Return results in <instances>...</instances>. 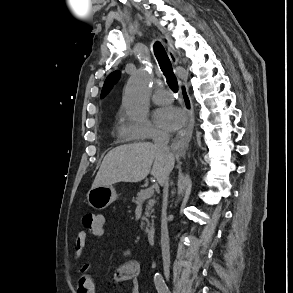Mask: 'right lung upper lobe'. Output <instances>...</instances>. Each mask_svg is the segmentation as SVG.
Wrapping results in <instances>:
<instances>
[{
    "label": "right lung upper lobe",
    "mask_w": 293,
    "mask_h": 293,
    "mask_svg": "<svg viewBox=\"0 0 293 293\" xmlns=\"http://www.w3.org/2000/svg\"><path fill=\"white\" fill-rule=\"evenodd\" d=\"M120 78V73L119 71H115L111 73L105 80L102 92H101V97H105L106 94L110 91L112 88L113 84L117 82V80Z\"/></svg>",
    "instance_id": "obj_1"
}]
</instances>
